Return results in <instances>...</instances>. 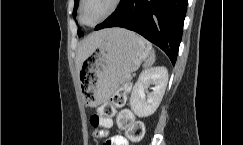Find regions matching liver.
I'll use <instances>...</instances> for the list:
<instances>
[{
  "mask_svg": "<svg viewBox=\"0 0 243 145\" xmlns=\"http://www.w3.org/2000/svg\"><path fill=\"white\" fill-rule=\"evenodd\" d=\"M110 31L111 29H104L93 32L79 43L75 59L77 71L80 70L82 63L96 50Z\"/></svg>",
  "mask_w": 243,
  "mask_h": 145,
  "instance_id": "1",
  "label": "liver"
}]
</instances>
